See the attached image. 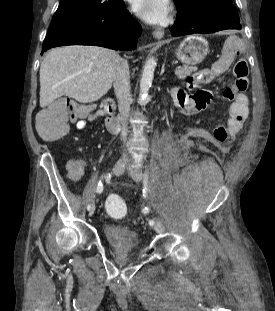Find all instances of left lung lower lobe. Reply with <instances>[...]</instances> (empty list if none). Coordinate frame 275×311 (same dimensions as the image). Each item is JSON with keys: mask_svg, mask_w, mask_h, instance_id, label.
Instances as JSON below:
<instances>
[{"mask_svg": "<svg viewBox=\"0 0 275 311\" xmlns=\"http://www.w3.org/2000/svg\"><path fill=\"white\" fill-rule=\"evenodd\" d=\"M241 28L239 16L230 7L202 4L185 11L177 9L176 21L171 27V33L172 36H183Z\"/></svg>", "mask_w": 275, "mask_h": 311, "instance_id": "0a47b994", "label": "left lung lower lobe"}]
</instances>
